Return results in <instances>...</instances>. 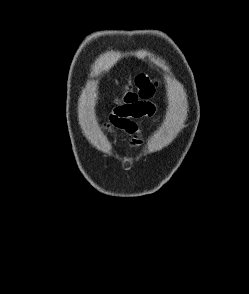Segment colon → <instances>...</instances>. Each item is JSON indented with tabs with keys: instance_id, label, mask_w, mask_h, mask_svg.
I'll use <instances>...</instances> for the list:
<instances>
[{
	"instance_id": "1",
	"label": "colon",
	"mask_w": 249,
	"mask_h": 294,
	"mask_svg": "<svg viewBox=\"0 0 249 294\" xmlns=\"http://www.w3.org/2000/svg\"><path fill=\"white\" fill-rule=\"evenodd\" d=\"M155 90L154 83L146 74H139L135 80L128 85V91L124 96L126 102H136L139 99H149Z\"/></svg>"
}]
</instances>
